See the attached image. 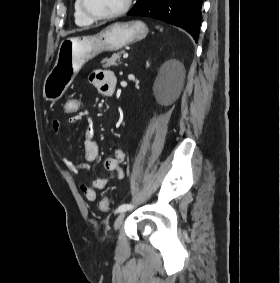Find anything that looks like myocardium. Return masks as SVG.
Segmentation results:
<instances>
[{"label":"myocardium","mask_w":280,"mask_h":283,"mask_svg":"<svg viewBox=\"0 0 280 283\" xmlns=\"http://www.w3.org/2000/svg\"><path fill=\"white\" fill-rule=\"evenodd\" d=\"M79 2H80V7L84 15L92 21H103V20H111V19L118 18L124 15L125 13H127L133 4V0H125L124 5L119 10L113 13H110V14L97 15V14L92 13L87 8L85 0H79Z\"/></svg>","instance_id":"myocardium-1"}]
</instances>
